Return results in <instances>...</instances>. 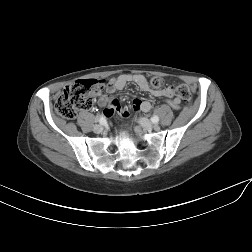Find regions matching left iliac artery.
<instances>
[{
  "instance_id": "obj_1",
  "label": "left iliac artery",
  "mask_w": 252,
  "mask_h": 252,
  "mask_svg": "<svg viewBox=\"0 0 252 252\" xmlns=\"http://www.w3.org/2000/svg\"><path fill=\"white\" fill-rule=\"evenodd\" d=\"M158 121H159V117H158L157 115H154V116L152 117V122H153V123H158Z\"/></svg>"
}]
</instances>
